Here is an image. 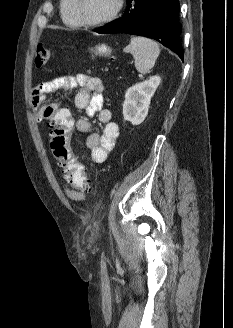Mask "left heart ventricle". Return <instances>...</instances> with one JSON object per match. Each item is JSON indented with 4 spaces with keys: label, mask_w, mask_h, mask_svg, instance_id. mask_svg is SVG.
I'll return each mask as SVG.
<instances>
[{
    "label": "left heart ventricle",
    "mask_w": 233,
    "mask_h": 328,
    "mask_svg": "<svg viewBox=\"0 0 233 328\" xmlns=\"http://www.w3.org/2000/svg\"><path fill=\"white\" fill-rule=\"evenodd\" d=\"M116 0H81V14L88 21L101 20L112 13Z\"/></svg>",
    "instance_id": "obj_1"
}]
</instances>
